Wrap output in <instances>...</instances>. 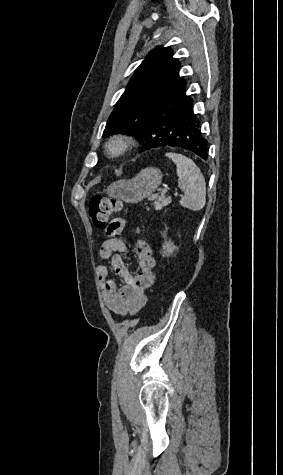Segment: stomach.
Returning a JSON list of instances; mask_svg holds the SVG:
<instances>
[{"label": "stomach", "instance_id": "stomach-1", "mask_svg": "<svg viewBox=\"0 0 283 475\" xmlns=\"http://www.w3.org/2000/svg\"><path fill=\"white\" fill-rule=\"evenodd\" d=\"M162 178V172L158 168H144L132 180L113 182L106 192L110 198L122 200L127 204H138L157 190Z\"/></svg>", "mask_w": 283, "mask_h": 475}]
</instances>
